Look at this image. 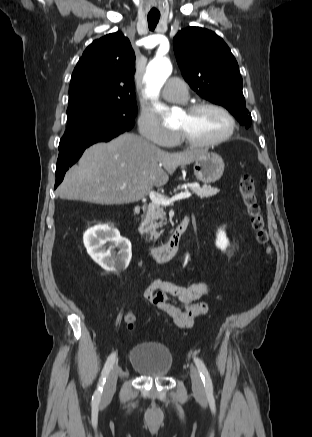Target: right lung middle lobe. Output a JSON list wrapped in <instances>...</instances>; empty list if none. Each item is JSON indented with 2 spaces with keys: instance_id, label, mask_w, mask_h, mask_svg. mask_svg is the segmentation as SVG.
<instances>
[{
  "instance_id": "obj_1",
  "label": "right lung middle lobe",
  "mask_w": 312,
  "mask_h": 437,
  "mask_svg": "<svg viewBox=\"0 0 312 437\" xmlns=\"http://www.w3.org/2000/svg\"><path fill=\"white\" fill-rule=\"evenodd\" d=\"M136 102H86L68 107V124L59 151L108 136L119 135L134 126Z\"/></svg>"
}]
</instances>
